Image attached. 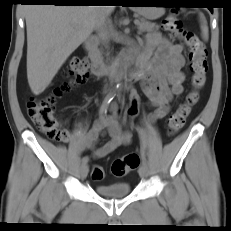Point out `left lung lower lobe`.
<instances>
[{"label": "left lung lower lobe", "instance_id": "left-lung-lower-lobe-1", "mask_svg": "<svg viewBox=\"0 0 231 231\" xmlns=\"http://www.w3.org/2000/svg\"><path fill=\"white\" fill-rule=\"evenodd\" d=\"M209 8V10L213 13V8L212 7H208Z\"/></svg>", "mask_w": 231, "mask_h": 231}]
</instances>
